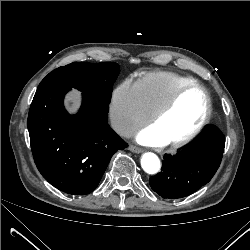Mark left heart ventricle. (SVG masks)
Returning a JSON list of instances; mask_svg holds the SVG:
<instances>
[{
  "label": "left heart ventricle",
  "instance_id": "1",
  "mask_svg": "<svg viewBox=\"0 0 250 250\" xmlns=\"http://www.w3.org/2000/svg\"><path fill=\"white\" fill-rule=\"evenodd\" d=\"M205 97L201 90L186 91L173 109L152 128L167 142L179 139L191 132L205 112Z\"/></svg>",
  "mask_w": 250,
  "mask_h": 250
}]
</instances>
